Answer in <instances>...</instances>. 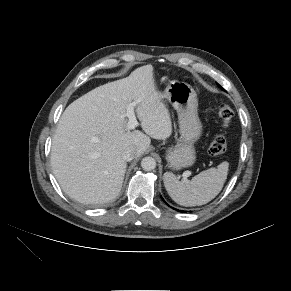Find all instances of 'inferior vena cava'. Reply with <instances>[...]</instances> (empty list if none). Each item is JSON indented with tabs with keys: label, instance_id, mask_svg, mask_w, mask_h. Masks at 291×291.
<instances>
[{
	"label": "inferior vena cava",
	"instance_id": "obj_1",
	"mask_svg": "<svg viewBox=\"0 0 291 291\" xmlns=\"http://www.w3.org/2000/svg\"><path fill=\"white\" fill-rule=\"evenodd\" d=\"M135 157V152L133 149H127L123 152L122 154V158L125 160V161H131L133 160Z\"/></svg>",
	"mask_w": 291,
	"mask_h": 291
}]
</instances>
